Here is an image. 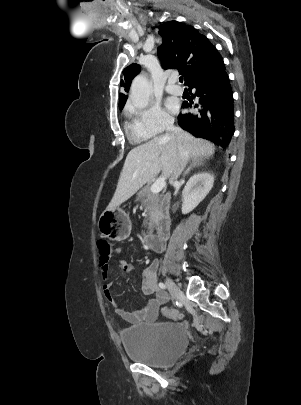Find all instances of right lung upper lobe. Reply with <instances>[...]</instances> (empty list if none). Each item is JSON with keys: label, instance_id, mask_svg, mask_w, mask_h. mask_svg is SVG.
Instances as JSON below:
<instances>
[{"label": "right lung upper lobe", "instance_id": "cb5924a9", "mask_svg": "<svg viewBox=\"0 0 301 405\" xmlns=\"http://www.w3.org/2000/svg\"><path fill=\"white\" fill-rule=\"evenodd\" d=\"M159 34L163 42L158 47V56L164 69L177 67L184 76L185 84L212 71L222 57L208 38L193 26L177 21L164 23ZM140 71L138 64H131L123 71L125 91L129 90L131 80ZM127 96L119 95V108L122 110Z\"/></svg>", "mask_w": 301, "mask_h": 405}]
</instances>
